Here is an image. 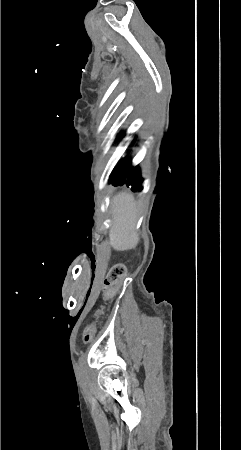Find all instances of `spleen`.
Returning <instances> with one entry per match:
<instances>
[{
    "mask_svg": "<svg viewBox=\"0 0 241 450\" xmlns=\"http://www.w3.org/2000/svg\"><path fill=\"white\" fill-rule=\"evenodd\" d=\"M116 224L110 232V246L124 252L136 248L139 238L135 232L134 198L132 194H118L113 200Z\"/></svg>",
    "mask_w": 241,
    "mask_h": 450,
    "instance_id": "3e777b00",
    "label": "spleen"
}]
</instances>
